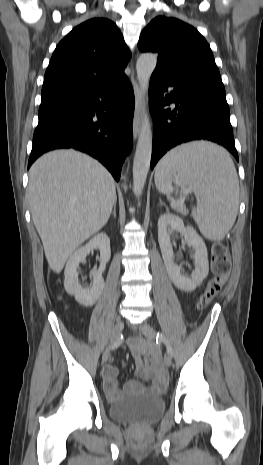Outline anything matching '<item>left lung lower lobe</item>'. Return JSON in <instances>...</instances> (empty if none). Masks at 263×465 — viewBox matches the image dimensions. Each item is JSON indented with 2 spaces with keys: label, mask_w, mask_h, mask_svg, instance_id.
Returning <instances> with one entry per match:
<instances>
[{
  "label": "left lung lower lobe",
  "mask_w": 263,
  "mask_h": 465,
  "mask_svg": "<svg viewBox=\"0 0 263 465\" xmlns=\"http://www.w3.org/2000/svg\"><path fill=\"white\" fill-rule=\"evenodd\" d=\"M172 102L174 110L164 109ZM149 108L154 120L151 169L168 150L192 140L222 145L238 160L225 90L194 77L154 71Z\"/></svg>",
  "instance_id": "obj_1"
}]
</instances>
